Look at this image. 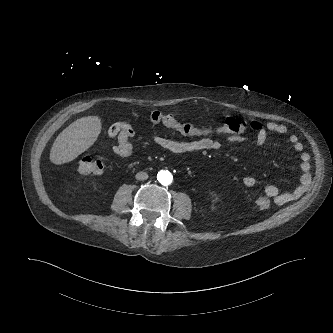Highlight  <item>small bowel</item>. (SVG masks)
<instances>
[{
  "label": "small bowel",
  "mask_w": 333,
  "mask_h": 333,
  "mask_svg": "<svg viewBox=\"0 0 333 333\" xmlns=\"http://www.w3.org/2000/svg\"><path fill=\"white\" fill-rule=\"evenodd\" d=\"M122 121L116 122L108 131L109 138H116L117 143L114 146V151L120 156H129L132 153V145L130 139L132 138V131L130 129L120 130V124ZM288 128L286 125L276 122H268L256 133V144L258 146H263L269 136H282L286 134ZM224 138V141L228 143H242L246 141L249 137L247 132L235 133L229 132L226 135H221ZM153 144L157 147L172 153H191L202 150H219L223 146V141L215 139L212 137L209 138H200L193 141H177L167 137L154 135L151 138ZM289 142L294 148V150L299 154L300 168L302 173V182H300L293 190L288 192H281L274 185H267L264 188V193L267 197L274 199V201L283 205L289 202L297 200L304 190V182L307 178V175L310 170V155L307 152H304V146L302 142L296 135L289 136ZM128 148L127 152L122 150ZM243 184L246 187H254L257 185L258 181L254 176L247 175L243 178Z\"/></svg>",
  "instance_id": "small-bowel-1"
}]
</instances>
